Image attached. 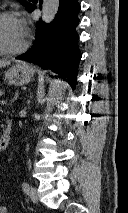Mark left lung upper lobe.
I'll use <instances>...</instances> for the list:
<instances>
[{
  "label": "left lung upper lobe",
  "instance_id": "obj_1",
  "mask_svg": "<svg viewBox=\"0 0 128 213\" xmlns=\"http://www.w3.org/2000/svg\"><path fill=\"white\" fill-rule=\"evenodd\" d=\"M21 1V4L27 8H29L31 6V3L25 1V0H20Z\"/></svg>",
  "mask_w": 128,
  "mask_h": 213
}]
</instances>
